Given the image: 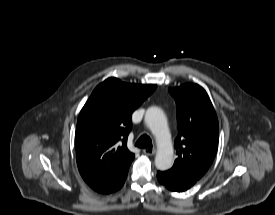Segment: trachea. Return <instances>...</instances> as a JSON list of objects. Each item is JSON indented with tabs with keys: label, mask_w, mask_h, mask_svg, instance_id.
I'll return each instance as SVG.
<instances>
[{
	"label": "trachea",
	"mask_w": 275,
	"mask_h": 215,
	"mask_svg": "<svg viewBox=\"0 0 275 215\" xmlns=\"http://www.w3.org/2000/svg\"><path fill=\"white\" fill-rule=\"evenodd\" d=\"M135 145L139 148L151 149L152 141L148 135L144 134L139 137Z\"/></svg>",
	"instance_id": "3493384b"
}]
</instances>
